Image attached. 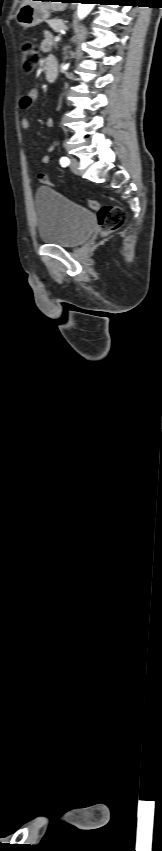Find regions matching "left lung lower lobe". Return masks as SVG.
<instances>
[{
    "mask_svg": "<svg viewBox=\"0 0 162 851\" xmlns=\"http://www.w3.org/2000/svg\"><path fill=\"white\" fill-rule=\"evenodd\" d=\"M63 2H70V0H62ZM82 3H101L102 0H81Z\"/></svg>",
    "mask_w": 162,
    "mask_h": 851,
    "instance_id": "left-lung-lower-lobe-1",
    "label": "left lung lower lobe"
}]
</instances>
